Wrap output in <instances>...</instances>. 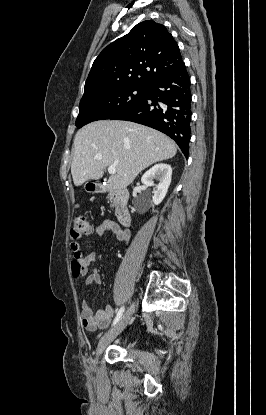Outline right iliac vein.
<instances>
[{"mask_svg": "<svg viewBox=\"0 0 266 415\" xmlns=\"http://www.w3.org/2000/svg\"><path fill=\"white\" fill-rule=\"evenodd\" d=\"M134 306V303L131 304L117 324L100 339L96 350V360H98V356L104 351L107 345L125 329L133 314Z\"/></svg>", "mask_w": 266, "mask_h": 415, "instance_id": "1", "label": "right iliac vein"}]
</instances>
